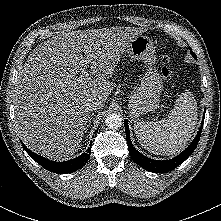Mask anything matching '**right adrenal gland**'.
Wrapping results in <instances>:
<instances>
[{"label":"right adrenal gland","mask_w":221,"mask_h":221,"mask_svg":"<svg viewBox=\"0 0 221 221\" xmlns=\"http://www.w3.org/2000/svg\"><path fill=\"white\" fill-rule=\"evenodd\" d=\"M91 120H92V116H90V118H89L88 125H87V127H86L85 132H87V130L89 129V125H90V123H91Z\"/></svg>","instance_id":"1"}]
</instances>
